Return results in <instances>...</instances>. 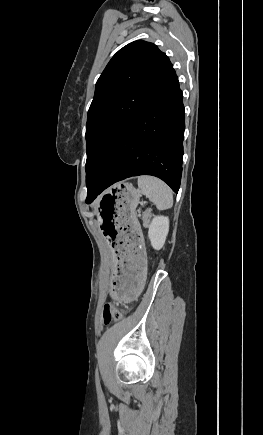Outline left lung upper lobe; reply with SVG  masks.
Masks as SVG:
<instances>
[{"mask_svg":"<svg viewBox=\"0 0 263 435\" xmlns=\"http://www.w3.org/2000/svg\"><path fill=\"white\" fill-rule=\"evenodd\" d=\"M176 75L156 45L134 41L120 49L97 80L86 124V186L93 183L119 138Z\"/></svg>","mask_w":263,"mask_h":435,"instance_id":"obj_1","label":"left lung upper lobe"}]
</instances>
